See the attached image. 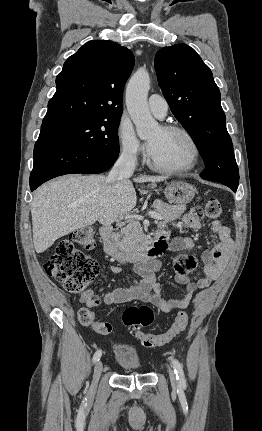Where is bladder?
<instances>
[{
  "label": "bladder",
  "mask_w": 262,
  "mask_h": 431,
  "mask_svg": "<svg viewBox=\"0 0 262 431\" xmlns=\"http://www.w3.org/2000/svg\"><path fill=\"white\" fill-rule=\"evenodd\" d=\"M116 358L120 366L127 371L141 368V359L138 352L129 345L118 344L115 347Z\"/></svg>",
  "instance_id": "bladder-1"
}]
</instances>
